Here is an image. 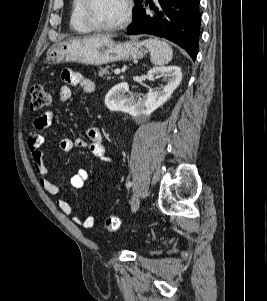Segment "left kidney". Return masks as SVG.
Listing matches in <instances>:
<instances>
[{
  "label": "left kidney",
  "mask_w": 267,
  "mask_h": 301,
  "mask_svg": "<svg viewBox=\"0 0 267 301\" xmlns=\"http://www.w3.org/2000/svg\"><path fill=\"white\" fill-rule=\"evenodd\" d=\"M162 76L166 85L160 91L149 92L138 101L129 92L127 83L115 85L105 96V105L110 111L132 112L136 108L152 112L162 106L173 94L182 80V72L178 66L155 67L147 76ZM129 94V95H128Z\"/></svg>",
  "instance_id": "5707ae66"
}]
</instances>
